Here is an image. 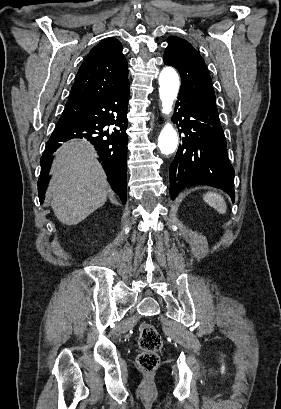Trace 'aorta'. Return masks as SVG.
Listing matches in <instances>:
<instances>
[{
    "mask_svg": "<svg viewBox=\"0 0 281 409\" xmlns=\"http://www.w3.org/2000/svg\"><path fill=\"white\" fill-rule=\"evenodd\" d=\"M159 97L162 102V112L168 115L178 94L180 81L178 74L171 67L162 69L159 75ZM178 144L177 132L170 123H166L160 132L158 146L162 154L175 152Z\"/></svg>",
    "mask_w": 281,
    "mask_h": 409,
    "instance_id": "762f6f07",
    "label": "aorta"
}]
</instances>
